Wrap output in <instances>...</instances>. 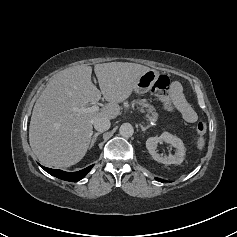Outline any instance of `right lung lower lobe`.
Wrapping results in <instances>:
<instances>
[{
	"label": "right lung lower lobe",
	"instance_id": "98d812e1",
	"mask_svg": "<svg viewBox=\"0 0 237 237\" xmlns=\"http://www.w3.org/2000/svg\"><path fill=\"white\" fill-rule=\"evenodd\" d=\"M41 167L46 172H48L49 174H51L59 179L71 181V182H77V181L81 180L92 169L93 165H91L83 170L73 172V173L65 172V171L58 170V169H51V168H47L44 166H41Z\"/></svg>",
	"mask_w": 237,
	"mask_h": 237
}]
</instances>
